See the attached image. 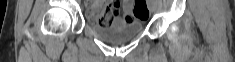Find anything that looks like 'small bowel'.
<instances>
[{
  "instance_id": "small-bowel-1",
  "label": "small bowel",
  "mask_w": 235,
  "mask_h": 62,
  "mask_svg": "<svg viewBox=\"0 0 235 62\" xmlns=\"http://www.w3.org/2000/svg\"><path fill=\"white\" fill-rule=\"evenodd\" d=\"M104 6L103 2L95 1L93 2L90 7L88 8V17L93 22H99L100 17L102 15V7ZM107 9L109 11V15L111 17V23L114 19H116L119 16L120 13V1H111L107 4ZM124 9L126 12H129L131 9V2L125 1L124 2ZM131 17V15L126 14L124 16V19L128 20Z\"/></svg>"
}]
</instances>
